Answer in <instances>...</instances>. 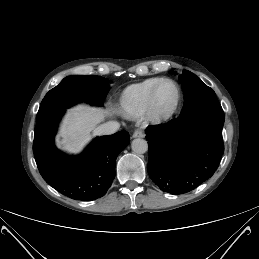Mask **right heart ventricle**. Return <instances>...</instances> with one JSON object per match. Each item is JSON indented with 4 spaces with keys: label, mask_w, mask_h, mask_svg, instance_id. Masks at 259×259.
<instances>
[{
    "label": "right heart ventricle",
    "mask_w": 259,
    "mask_h": 259,
    "mask_svg": "<svg viewBox=\"0 0 259 259\" xmlns=\"http://www.w3.org/2000/svg\"><path fill=\"white\" fill-rule=\"evenodd\" d=\"M161 79L159 77L148 78L126 87L120 97L122 112L129 117H138L145 113L150 93Z\"/></svg>",
    "instance_id": "e07e8e85"
}]
</instances>
